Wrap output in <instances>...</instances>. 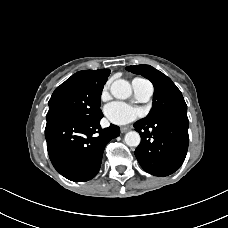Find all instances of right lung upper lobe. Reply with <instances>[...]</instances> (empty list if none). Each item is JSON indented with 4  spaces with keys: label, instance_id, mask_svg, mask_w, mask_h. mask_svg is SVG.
Masks as SVG:
<instances>
[{
    "label": "right lung upper lobe",
    "instance_id": "cb5924a9",
    "mask_svg": "<svg viewBox=\"0 0 228 228\" xmlns=\"http://www.w3.org/2000/svg\"><path fill=\"white\" fill-rule=\"evenodd\" d=\"M110 74L109 69H100V70H83L79 71L76 74L72 75V78H78L87 82H94L100 80L104 75Z\"/></svg>",
    "mask_w": 228,
    "mask_h": 228
}]
</instances>
